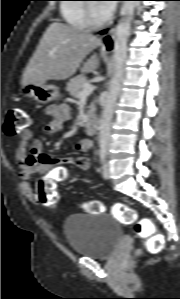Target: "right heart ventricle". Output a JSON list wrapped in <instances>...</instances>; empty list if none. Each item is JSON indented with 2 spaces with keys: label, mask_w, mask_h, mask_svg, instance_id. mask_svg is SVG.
I'll return each mask as SVG.
<instances>
[{
  "label": "right heart ventricle",
  "mask_w": 180,
  "mask_h": 299,
  "mask_svg": "<svg viewBox=\"0 0 180 299\" xmlns=\"http://www.w3.org/2000/svg\"><path fill=\"white\" fill-rule=\"evenodd\" d=\"M67 2H77L82 0H65ZM64 20L71 26L78 29L89 27L87 21L86 5L77 3H64L61 6Z\"/></svg>",
  "instance_id": "obj_1"
}]
</instances>
